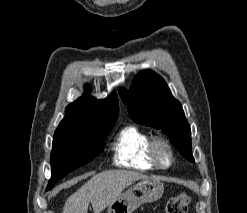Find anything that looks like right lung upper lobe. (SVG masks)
Segmentation results:
<instances>
[{"label": "right lung upper lobe", "mask_w": 247, "mask_h": 213, "mask_svg": "<svg viewBox=\"0 0 247 213\" xmlns=\"http://www.w3.org/2000/svg\"><path fill=\"white\" fill-rule=\"evenodd\" d=\"M85 94L66 108V115L56 132H87L115 123L118 117V98L112 92L106 99L97 100L89 95L86 85Z\"/></svg>", "instance_id": "right-lung-upper-lobe-1"}]
</instances>
